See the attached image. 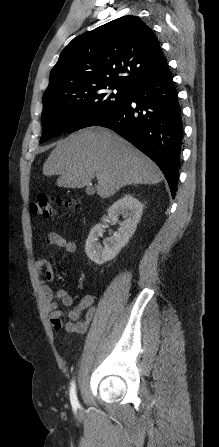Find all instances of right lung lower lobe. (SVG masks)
<instances>
[{
	"label": "right lung lower lobe",
	"instance_id": "obj_1",
	"mask_svg": "<svg viewBox=\"0 0 219 447\" xmlns=\"http://www.w3.org/2000/svg\"><path fill=\"white\" fill-rule=\"evenodd\" d=\"M90 126L112 129L150 157L175 197L183 138L182 112L170 70L145 83L129 99Z\"/></svg>",
	"mask_w": 219,
	"mask_h": 447
}]
</instances>
